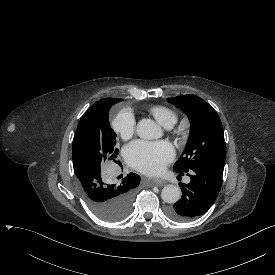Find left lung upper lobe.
Listing matches in <instances>:
<instances>
[{
  "label": "left lung upper lobe",
  "instance_id": "left-lung-upper-lobe-1",
  "mask_svg": "<svg viewBox=\"0 0 275 275\" xmlns=\"http://www.w3.org/2000/svg\"><path fill=\"white\" fill-rule=\"evenodd\" d=\"M167 100L183 110L191 123L185 150L173 169L182 173L202 167L223 170L226 146L222 123L216 111L195 95H181Z\"/></svg>",
  "mask_w": 275,
  "mask_h": 275
}]
</instances>
